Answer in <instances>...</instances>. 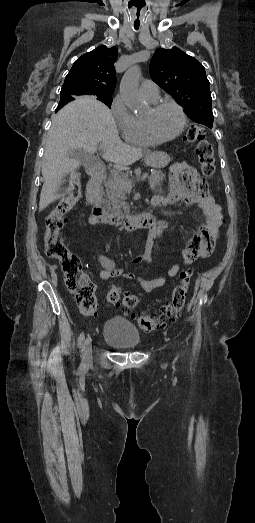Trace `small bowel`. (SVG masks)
<instances>
[{"mask_svg": "<svg viewBox=\"0 0 255 523\" xmlns=\"http://www.w3.org/2000/svg\"><path fill=\"white\" fill-rule=\"evenodd\" d=\"M176 169L180 172L182 180L173 178L170 194L166 198L163 197L166 200V204H173L178 201H183L186 204H196L204 214V221L193 233L181 252L184 264L191 265L196 259L206 258L213 252L222 222L221 207L215 203L206 183L200 178L195 168L182 163ZM88 221L90 224H94L91 216ZM168 228L169 223L167 221H157L149 232L144 253L141 256L130 259L126 266L140 262L153 263L152 253L158 248V241ZM98 261L101 266V271L98 274V279L100 280L122 276L129 280H136L140 287L148 293L161 288L166 283V278L164 277L147 280L129 271L127 268H117L115 262L104 254L98 256ZM179 270V265H173L168 271V275L174 277Z\"/></svg>", "mask_w": 255, "mask_h": 523, "instance_id": "1", "label": "small bowel"}]
</instances>
